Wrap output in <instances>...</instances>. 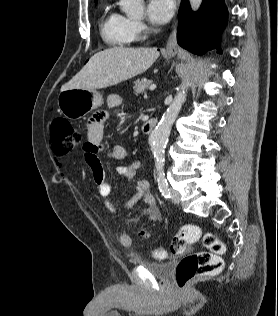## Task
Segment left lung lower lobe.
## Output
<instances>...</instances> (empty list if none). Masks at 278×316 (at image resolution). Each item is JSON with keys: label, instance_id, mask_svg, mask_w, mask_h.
<instances>
[{"label": "left lung lower lobe", "instance_id": "0a47b994", "mask_svg": "<svg viewBox=\"0 0 278 316\" xmlns=\"http://www.w3.org/2000/svg\"><path fill=\"white\" fill-rule=\"evenodd\" d=\"M226 21L224 0H204L195 13L191 11L188 0H183L179 9L177 42L192 53L204 54L218 48L219 35Z\"/></svg>", "mask_w": 278, "mask_h": 316}]
</instances>
